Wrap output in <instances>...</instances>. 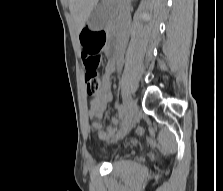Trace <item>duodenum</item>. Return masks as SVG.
Returning <instances> with one entry per match:
<instances>
[{
  "instance_id": "duodenum-1",
  "label": "duodenum",
  "mask_w": 223,
  "mask_h": 191,
  "mask_svg": "<svg viewBox=\"0 0 223 191\" xmlns=\"http://www.w3.org/2000/svg\"><path fill=\"white\" fill-rule=\"evenodd\" d=\"M113 34L117 40H119V38L121 37L120 31L114 30ZM118 54H119V48L116 45L111 43L108 48V55H109V59L112 63H114V60L118 56Z\"/></svg>"
}]
</instances>
